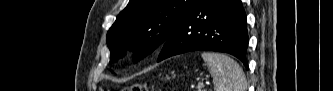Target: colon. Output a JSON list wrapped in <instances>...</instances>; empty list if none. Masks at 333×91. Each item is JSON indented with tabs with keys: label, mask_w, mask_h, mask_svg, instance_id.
Returning <instances> with one entry per match:
<instances>
[{
	"label": "colon",
	"mask_w": 333,
	"mask_h": 91,
	"mask_svg": "<svg viewBox=\"0 0 333 91\" xmlns=\"http://www.w3.org/2000/svg\"><path fill=\"white\" fill-rule=\"evenodd\" d=\"M124 91H146V87L140 84H133L124 88Z\"/></svg>",
	"instance_id": "5ec220e1"
}]
</instances>
